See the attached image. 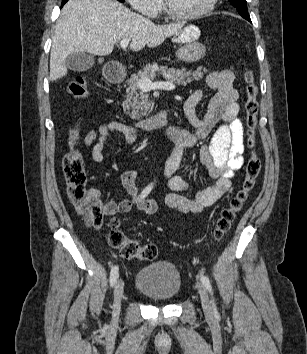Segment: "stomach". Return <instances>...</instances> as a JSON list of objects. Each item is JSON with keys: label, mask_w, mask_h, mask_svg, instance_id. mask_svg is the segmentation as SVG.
<instances>
[{"label": "stomach", "mask_w": 307, "mask_h": 354, "mask_svg": "<svg viewBox=\"0 0 307 354\" xmlns=\"http://www.w3.org/2000/svg\"><path fill=\"white\" fill-rule=\"evenodd\" d=\"M199 36L200 30L195 25H189L175 34L173 42L182 44L176 53L179 60L192 63L205 55V46L197 41Z\"/></svg>", "instance_id": "0dacf381"}]
</instances>
